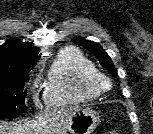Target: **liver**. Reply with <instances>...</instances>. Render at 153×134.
<instances>
[{"instance_id":"1","label":"liver","mask_w":153,"mask_h":134,"mask_svg":"<svg viewBox=\"0 0 153 134\" xmlns=\"http://www.w3.org/2000/svg\"><path fill=\"white\" fill-rule=\"evenodd\" d=\"M76 111V108H68L39 115L32 121L2 122L0 134H43L44 132L65 134Z\"/></svg>"}]
</instances>
